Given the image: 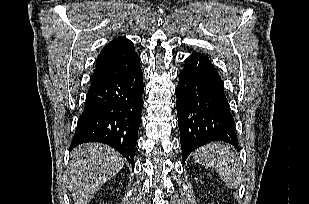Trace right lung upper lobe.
<instances>
[{
  "mask_svg": "<svg viewBox=\"0 0 309 204\" xmlns=\"http://www.w3.org/2000/svg\"><path fill=\"white\" fill-rule=\"evenodd\" d=\"M140 63L133 42L118 37L104 46L96 59L91 85L103 82L134 69Z\"/></svg>",
  "mask_w": 309,
  "mask_h": 204,
  "instance_id": "obj_1",
  "label": "right lung upper lobe"
}]
</instances>
